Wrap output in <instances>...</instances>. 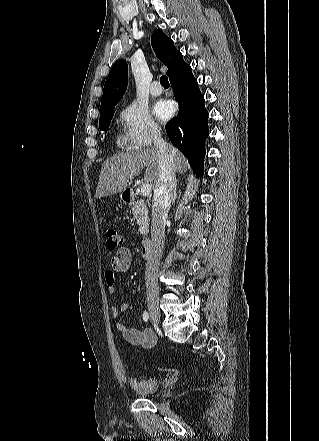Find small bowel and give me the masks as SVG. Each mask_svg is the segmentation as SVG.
<instances>
[{"label": "small bowel", "instance_id": "obj_1", "mask_svg": "<svg viewBox=\"0 0 319 441\" xmlns=\"http://www.w3.org/2000/svg\"><path fill=\"white\" fill-rule=\"evenodd\" d=\"M131 253L126 247L120 248L111 259V271L104 272V280L107 286V292L113 296L115 294V272H125L129 269L131 264ZM129 304L123 303L120 307L113 305L111 307V314L116 321V326L121 332L123 338L127 343L133 346H139L144 349L152 348L156 343V336L154 332L149 329H137L124 325L121 321V315L128 311Z\"/></svg>", "mask_w": 319, "mask_h": 441}]
</instances>
